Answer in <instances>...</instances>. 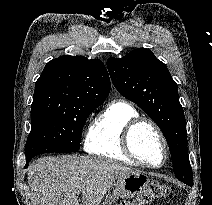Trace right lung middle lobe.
Instances as JSON below:
<instances>
[{
  "mask_svg": "<svg viewBox=\"0 0 212 205\" xmlns=\"http://www.w3.org/2000/svg\"><path fill=\"white\" fill-rule=\"evenodd\" d=\"M99 106L31 108V132L26 142V159L43 153L78 151L86 119Z\"/></svg>",
  "mask_w": 212,
  "mask_h": 205,
  "instance_id": "dd1d6c3e",
  "label": "right lung middle lobe"
}]
</instances>
